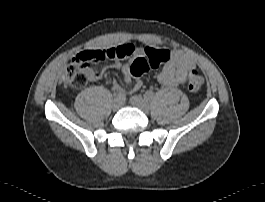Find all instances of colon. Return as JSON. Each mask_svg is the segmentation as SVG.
Masks as SVG:
<instances>
[{
  "label": "colon",
  "instance_id": "1",
  "mask_svg": "<svg viewBox=\"0 0 265 202\" xmlns=\"http://www.w3.org/2000/svg\"><path fill=\"white\" fill-rule=\"evenodd\" d=\"M122 53L115 52L112 48L106 51L87 49L79 52L75 60L77 63L69 64L64 70L60 83L67 88H82L86 85L87 79L81 69V65L90 62H101L121 58ZM170 58V52L165 49L158 51L148 50L142 57H137L131 64V74L134 77H141L150 69L158 67ZM204 79L197 69L190 70L186 87L192 94H197L202 86Z\"/></svg>",
  "mask_w": 265,
  "mask_h": 202
}]
</instances>
